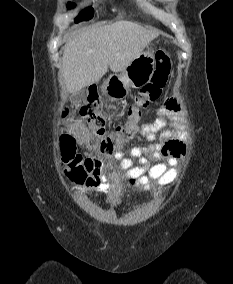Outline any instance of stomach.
Here are the masks:
<instances>
[{
  "label": "stomach",
  "mask_w": 233,
  "mask_h": 284,
  "mask_svg": "<svg viewBox=\"0 0 233 284\" xmlns=\"http://www.w3.org/2000/svg\"><path fill=\"white\" fill-rule=\"evenodd\" d=\"M153 72V53L145 51L120 74L111 75L103 84L102 91L112 100H122L128 95L131 87L138 88L148 83Z\"/></svg>",
  "instance_id": "stomach-1"
}]
</instances>
